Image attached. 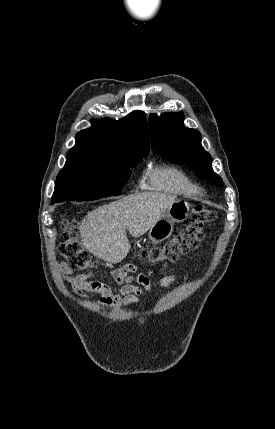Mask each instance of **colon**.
Here are the masks:
<instances>
[{
  "label": "colon",
  "mask_w": 275,
  "mask_h": 429,
  "mask_svg": "<svg viewBox=\"0 0 275 429\" xmlns=\"http://www.w3.org/2000/svg\"><path fill=\"white\" fill-rule=\"evenodd\" d=\"M216 219L213 210L204 206H195L191 211L190 222L179 234L168 240L162 246H141L137 255L152 265L163 261H176L182 255L196 249L204 238V231ZM63 235L59 252L67 265L75 270L91 267L92 262L82 249L77 237V221L65 219L63 221Z\"/></svg>",
  "instance_id": "obj_1"
}]
</instances>
